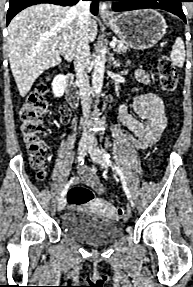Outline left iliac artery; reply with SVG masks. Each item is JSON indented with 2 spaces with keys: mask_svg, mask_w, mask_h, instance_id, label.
Returning a JSON list of instances; mask_svg holds the SVG:
<instances>
[{
  "mask_svg": "<svg viewBox=\"0 0 193 287\" xmlns=\"http://www.w3.org/2000/svg\"><path fill=\"white\" fill-rule=\"evenodd\" d=\"M102 152H103V157H104L105 161L107 162V164L110 165L112 167V169L115 170L118 173V175L120 176L125 194H126L127 198L129 200H131V194H130V191L127 187L125 177H124L122 170L120 169L119 166H117L113 163L110 155L107 153V151L105 149H102Z\"/></svg>",
  "mask_w": 193,
  "mask_h": 287,
  "instance_id": "left-iliac-artery-1",
  "label": "left iliac artery"
}]
</instances>
